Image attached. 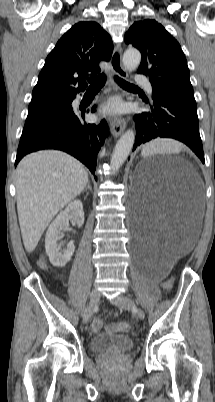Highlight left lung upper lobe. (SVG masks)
Masks as SVG:
<instances>
[{
    "label": "left lung upper lobe",
    "mask_w": 215,
    "mask_h": 402,
    "mask_svg": "<svg viewBox=\"0 0 215 402\" xmlns=\"http://www.w3.org/2000/svg\"><path fill=\"white\" fill-rule=\"evenodd\" d=\"M142 54L138 73L149 76L152 94L197 109L185 55L175 38L153 19L136 21L125 34Z\"/></svg>",
    "instance_id": "5c2ea615"
}]
</instances>
